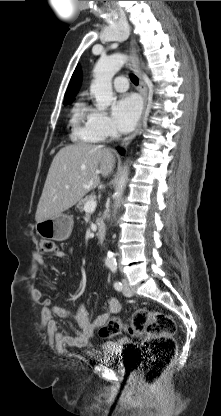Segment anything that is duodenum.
Returning <instances> with one entry per match:
<instances>
[{"instance_id":"1","label":"duodenum","mask_w":221,"mask_h":416,"mask_svg":"<svg viewBox=\"0 0 221 416\" xmlns=\"http://www.w3.org/2000/svg\"><path fill=\"white\" fill-rule=\"evenodd\" d=\"M105 234H106V226L103 222H99L97 225V232H96L97 238L100 241H102L105 237Z\"/></svg>"}]
</instances>
